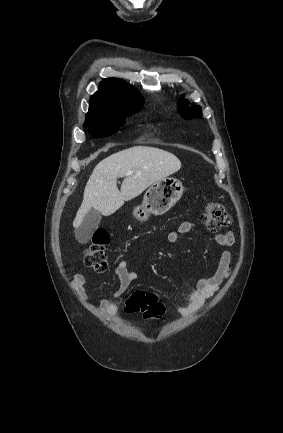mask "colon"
Returning a JSON list of instances; mask_svg holds the SVG:
<instances>
[{"mask_svg": "<svg viewBox=\"0 0 283 433\" xmlns=\"http://www.w3.org/2000/svg\"><path fill=\"white\" fill-rule=\"evenodd\" d=\"M202 221L208 230L216 232L228 227L231 224V217L220 203L209 202L205 206ZM108 242L109 237L105 233H98L93 237L83 255V261L87 267L97 272H104L108 269L106 252ZM125 311L142 314L146 319L158 320L164 315L165 309L154 293L136 291L126 300Z\"/></svg>", "mask_w": 283, "mask_h": 433, "instance_id": "colon-1", "label": "colon"}]
</instances>
